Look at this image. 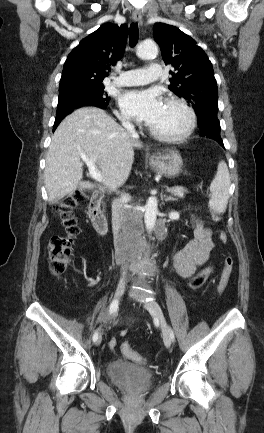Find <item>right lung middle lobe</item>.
<instances>
[{
  "label": "right lung middle lobe",
  "mask_w": 264,
  "mask_h": 433,
  "mask_svg": "<svg viewBox=\"0 0 264 433\" xmlns=\"http://www.w3.org/2000/svg\"><path fill=\"white\" fill-rule=\"evenodd\" d=\"M109 100L110 97L104 92L103 84L66 90L59 94L56 118L67 115L80 103L97 101L107 106Z\"/></svg>",
  "instance_id": "obj_1"
}]
</instances>
